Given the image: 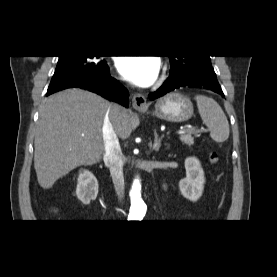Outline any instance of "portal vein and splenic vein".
<instances>
[{
    "label": "portal vein and splenic vein",
    "mask_w": 277,
    "mask_h": 277,
    "mask_svg": "<svg viewBox=\"0 0 277 277\" xmlns=\"http://www.w3.org/2000/svg\"><path fill=\"white\" fill-rule=\"evenodd\" d=\"M186 132H187V130H179V131H177V134L183 135V134H185Z\"/></svg>",
    "instance_id": "1"
}]
</instances>
